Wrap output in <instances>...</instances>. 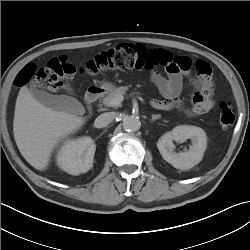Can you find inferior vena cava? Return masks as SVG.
<instances>
[{"label": "inferior vena cava", "instance_id": "1", "mask_svg": "<svg viewBox=\"0 0 250 250\" xmlns=\"http://www.w3.org/2000/svg\"><path fill=\"white\" fill-rule=\"evenodd\" d=\"M116 117L115 112H106L99 115L94 122L96 128L107 127Z\"/></svg>", "mask_w": 250, "mask_h": 250}]
</instances>
